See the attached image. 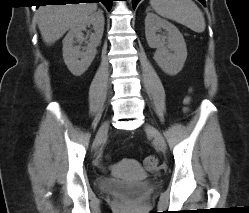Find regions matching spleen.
Masks as SVG:
<instances>
[{
    "label": "spleen",
    "instance_id": "1",
    "mask_svg": "<svg viewBox=\"0 0 249 213\" xmlns=\"http://www.w3.org/2000/svg\"><path fill=\"white\" fill-rule=\"evenodd\" d=\"M150 5L162 17L177 21L191 30H205L202 11L192 0H150Z\"/></svg>",
    "mask_w": 249,
    "mask_h": 213
}]
</instances>
